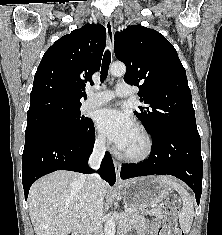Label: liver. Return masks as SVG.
<instances>
[{"mask_svg":"<svg viewBox=\"0 0 222 235\" xmlns=\"http://www.w3.org/2000/svg\"><path fill=\"white\" fill-rule=\"evenodd\" d=\"M87 176L58 170L37 180L28 196L29 215L36 235H68L82 222ZM108 184L101 180L105 195Z\"/></svg>","mask_w":222,"mask_h":235,"instance_id":"obj_1","label":"liver"}]
</instances>
